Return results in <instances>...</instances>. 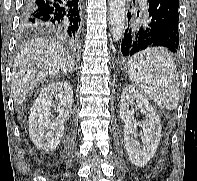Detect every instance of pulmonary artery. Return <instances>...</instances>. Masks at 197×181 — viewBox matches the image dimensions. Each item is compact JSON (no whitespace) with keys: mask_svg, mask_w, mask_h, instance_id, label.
I'll return each mask as SVG.
<instances>
[{"mask_svg":"<svg viewBox=\"0 0 197 181\" xmlns=\"http://www.w3.org/2000/svg\"><path fill=\"white\" fill-rule=\"evenodd\" d=\"M139 1H140V4H141V7H142L143 9H147L148 5H147L146 0H139Z\"/></svg>","mask_w":197,"mask_h":181,"instance_id":"pulmonary-artery-1","label":"pulmonary artery"}]
</instances>
